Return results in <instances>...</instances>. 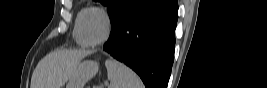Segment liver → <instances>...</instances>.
<instances>
[{"instance_id":"liver-1","label":"liver","mask_w":267,"mask_h":88,"mask_svg":"<svg viewBox=\"0 0 267 88\" xmlns=\"http://www.w3.org/2000/svg\"><path fill=\"white\" fill-rule=\"evenodd\" d=\"M91 51L58 50L49 53L37 64L31 88H62L80 61Z\"/></svg>"}]
</instances>
